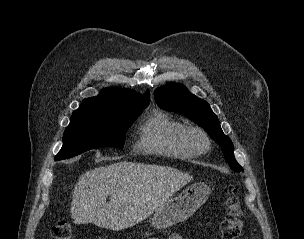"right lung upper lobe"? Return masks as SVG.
I'll return each instance as SVG.
<instances>
[{
    "mask_svg": "<svg viewBox=\"0 0 304 239\" xmlns=\"http://www.w3.org/2000/svg\"><path fill=\"white\" fill-rule=\"evenodd\" d=\"M149 102V91L141 95L126 88H105L98 96L85 99L82 105L73 112V115L119 113L126 108L147 107Z\"/></svg>",
    "mask_w": 304,
    "mask_h": 239,
    "instance_id": "cb5924a9",
    "label": "right lung upper lobe"
}]
</instances>
